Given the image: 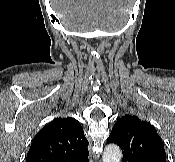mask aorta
Instances as JSON below:
<instances>
[{
	"label": "aorta",
	"mask_w": 175,
	"mask_h": 162,
	"mask_svg": "<svg viewBox=\"0 0 175 162\" xmlns=\"http://www.w3.org/2000/svg\"><path fill=\"white\" fill-rule=\"evenodd\" d=\"M122 152L119 146L115 144H109L105 147L102 160L103 162H120Z\"/></svg>",
	"instance_id": "aorta-1"
}]
</instances>
